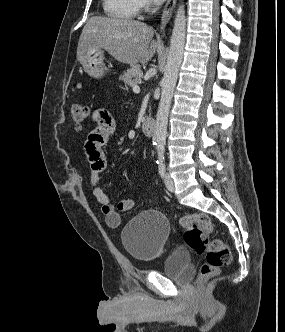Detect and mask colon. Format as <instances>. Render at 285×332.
I'll return each mask as SVG.
<instances>
[{"mask_svg":"<svg viewBox=\"0 0 285 332\" xmlns=\"http://www.w3.org/2000/svg\"><path fill=\"white\" fill-rule=\"evenodd\" d=\"M89 117V107L85 104H74L71 108V118L77 128L82 126ZM180 225L184 240L189 248L197 254L205 253V263L199 270L201 279L217 273L231 261V251L220 239H210L213 230L210 217L204 213L186 215L181 218Z\"/></svg>","mask_w":285,"mask_h":332,"instance_id":"colon-1","label":"colon"}]
</instances>
